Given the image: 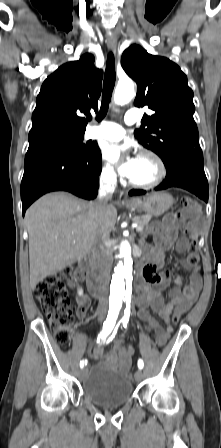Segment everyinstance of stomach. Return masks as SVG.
I'll return each instance as SVG.
<instances>
[{"mask_svg": "<svg viewBox=\"0 0 221 448\" xmlns=\"http://www.w3.org/2000/svg\"><path fill=\"white\" fill-rule=\"evenodd\" d=\"M174 203L173 197L166 192H156L132 201L127 207L130 210L144 211L150 216L164 214Z\"/></svg>", "mask_w": 221, "mask_h": 448, "instance_id": "0dacf381", "label": "stomach"}]
</instances>
